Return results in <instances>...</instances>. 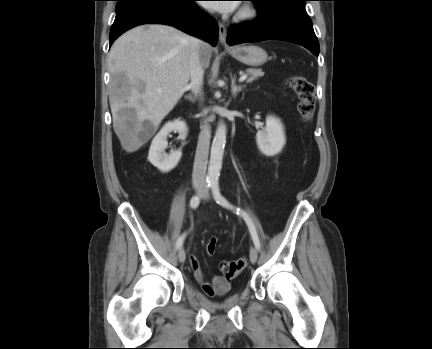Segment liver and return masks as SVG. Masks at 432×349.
Instances as JSON below:
<instances>
[{"mask_svg":"<svg viewBox=\"0 0 432 349\" xmlns=\"http://www.w3.org/2000/svg\"><path fill=\"white\" fill-rule=\"evenodd\" d=\"M191 38L166 25H142L120 36L109 52L113 128L126 152L137 151L188 89ZM211 46L202 43L207 68ZM131 109L128 118L121 111Z\"/></svg>","mask_w":432,"mask_h":349,"instance_id":"6515ba94","label":"liver"}]
</instances>
